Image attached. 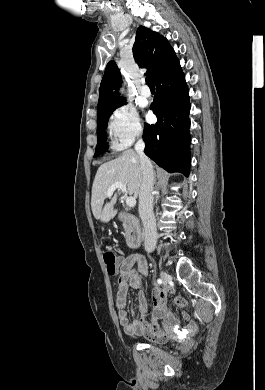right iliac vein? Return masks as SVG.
I'll list each match as a JSON object with an SVG mask.
<instances>
[{
	"label": "right iliac vein",
	"instance_id": "obj_1",
	"mask_svg": "<svg viewBox=\"0 0 265 390\" xmlns=\"http://www.w3.org/2000/svg\"><path fill=\"white\" fill-rule=\"evenodd\" d=\"M160 278H161V280H162L165 284H167V282L171 279L170 276H169V274H167L166 272H161V273H160Z\"/></svg>",
	"mask_w": 265,
	"mask_h": 390
}]
</instances>
